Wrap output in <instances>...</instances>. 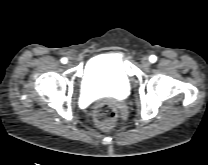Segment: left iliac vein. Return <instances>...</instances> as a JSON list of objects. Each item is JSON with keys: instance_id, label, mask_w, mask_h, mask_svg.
<instances>
[{"instance_id": "obj_1", "label": "left iliac vein", "mask_w": 208, "mask_h": 165, "mask_svg": "<svg viewBox=\"0 0 208 165\" xmlns=\"http://www.w3.org/2000/svg\"><path fill=\"white\" fill-rule=\"evenodd\" d=\"M142 64H143V66H145V67H149V66L151 65L149 58H148V57H144V58L142 59Z\"/></svg>"}]
</instances>
